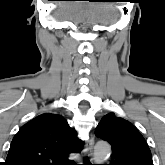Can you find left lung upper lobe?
<instances>
[{
    "label": "left lung upper lobe",
    "instance_id": "left-lung-upper-lobe-1",
    "mask_svg": "<svg viewBox=\"0 0 165 165\" xmlns=\"http://www.w3.org/2000/svg\"><path fill=\"white\" fill-rule=\"evenodd\" d=\"M95 134L112 146L110 165H153L145 139L129 121L109 113L101 119Z\"/></svg>",
    "mask_w": 165,
    "mask_h": 165
}]
</instances>
